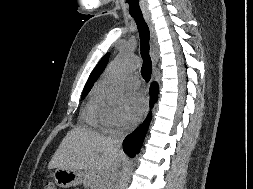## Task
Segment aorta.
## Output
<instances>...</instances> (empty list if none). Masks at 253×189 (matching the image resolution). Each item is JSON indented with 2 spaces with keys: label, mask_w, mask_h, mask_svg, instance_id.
Listing matches in <instances>:
<instances>
[{
  "label": "aorta",
  "mask_w": 253,
  "mask_h": 189,
  "mask_svg": "<svg viewBox=\"0 0 253 189\" xmlns=\"http://www.w3.org/2000/svg\"><path fill=\"white\" fill-rule=\"evenodd\" d=\"M136 66L133 58L121 53L119 58L111 66L108 76L103 82L102 89L106 100L111 105L119 104L123 97V77Z\"/></svg>",
  "instance_id": "762f6f07"
}]
</instances>
